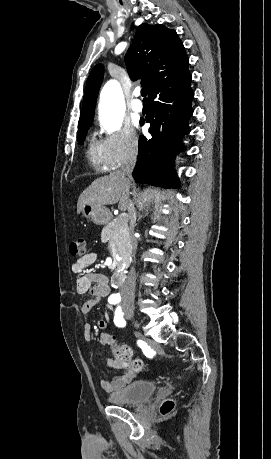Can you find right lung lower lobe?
Masks as SVG:
<instances>
[{
  "instance_id": "obj_1",
  "label": "right lung lower lobe",
  "mask_w": 271,
  "mask_h": 459,
  "mask_svg": "<svg viewBox=\"0 0 271 459\" xmlns=\"http://www.w3.org/2000/svg\"><path fill=\"white\" fill-rule=\"evenodd\" d=\"M191 80L187 71L167 79L148 95L151 112L146 122L151 124L152 138H139L138 161L133 171L137 182L179 184L173 160L177 152L185 150L182 137L190 132L188 121L193 114L191 102L194 97Z\"/></svg>"
}]
</instances>
